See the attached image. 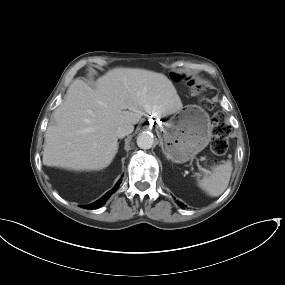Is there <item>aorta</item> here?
Segmentation results:
<instances>
[{
	"instance_id": "obj_1",
	"label": "aorta",
	"mask_w": 285,
	"mask_h": 285,
	"mask_svg": "<svg viewBox=\"0 0 285 285\" xmlns=\"http://www.w3.org/2000/svg\"><path fill=\"white\" fill-rule=\"evenodd\" d=\"M137 145L141 149H150L154 145V137L149 132H142L137 137Z\"/></svg>"
}]
</instances>
